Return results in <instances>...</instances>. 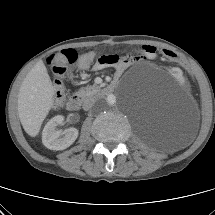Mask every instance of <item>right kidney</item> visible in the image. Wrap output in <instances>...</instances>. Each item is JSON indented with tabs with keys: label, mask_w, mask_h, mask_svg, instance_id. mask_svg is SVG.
<instances>
[{
	"label": "right kidney",
	"mask_w": 215,
	"mask_h": 215,
	"mask_svg": "<svg viewBox=\"0 0 215 215\" xmlns=\"http://www.w3.org/2000/svg\"><path fill=\"white\" fill-rule=\"evenodd\" d=\"M63 122L64 116L57 115L45 125L42 132V142L48 149L64 150L77 139L78 130L76 128H69L64 131L57 129V126Z\"/></svg>",
	"instance_id": "right-kidney-1"
}]
</instances>
